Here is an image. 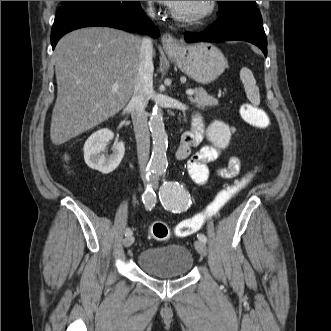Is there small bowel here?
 <instances>
[{"label":"small bowel","instance_id":"obj_1","mask_svg":"<svg viewBox=\"0 0 331 331\" xmlns=\"http://www.w3.org/2000/svg\"><path fill=\"white\" fill-rule=\"evenodd\" d=\"M203 131V120L199 115H195L190 130L183 133L176 150V158L187 160L188 173L197 184H204L208 180L211 174L209 165L220 156V151L210 145L202 146L197 152L192 153V149L202 142ZM240 168L239 159L233 156L226 166L216 170V174L223 179H233L239 175Z\"/></svg>","mask_w":331,"mask_h":331}]
</instances>
